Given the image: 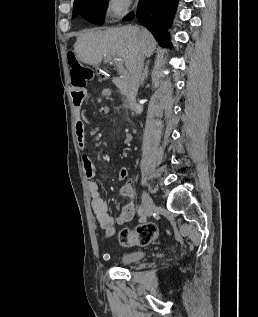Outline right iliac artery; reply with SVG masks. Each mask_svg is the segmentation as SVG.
<instances>
[{
    "mask_svg": "<svg viewBox=\"0 0 258 317\" xmlns=\"http://www.w3.org/2000/svg\"><path fill=\"white\" fill-rule=\"evenodd\" d=\"M142 214H143V209H142L141 206H139V207H138V215H139V216H142Z\"/></svg>",
    "mask_w": 258,
    "mask_h": 317,
    "instance_id": "82829eb1",
    "label": "right iliac artery"
}]
</instances>
